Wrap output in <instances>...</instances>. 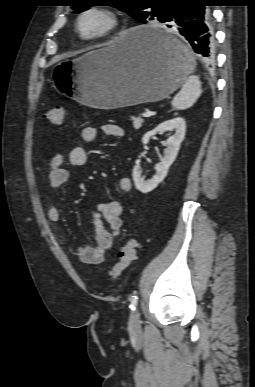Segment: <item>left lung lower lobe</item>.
Wrapping results in <instances>:
<instances>
[{"label": "left lung lower lobe", "mask_w": 255, "mask_h": 387, "mask_svg": "<svg viewBox=\"0 0 255 387\" xmlns=\"http://www.w3.org/2000/svg\"><path fill=\"white\" fill-rule=\"evenodd\" d=\"M212 0H178L172 2L166 15L160 22L169 28L170 22L179 26V33L191 45L193 51L207 63L215 57V42L212 29V18L207 6L213 5ZM143 40L169 57H177L179 46L173 42L165 31H151L143 34Z\"/></svg>", "instance_id": "obj_1"}]
</instances>
